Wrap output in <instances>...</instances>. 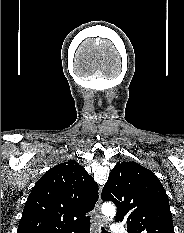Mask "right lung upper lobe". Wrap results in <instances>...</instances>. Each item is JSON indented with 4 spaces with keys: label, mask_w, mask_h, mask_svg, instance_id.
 <instances>
[{
    "label": "right lung upper lobe",
    "mask_w": 184,
    "mask_h": 233,
    "mask_svg": "<svg viewBox=\"0 0 184 233\" xmlns=\"http://www.w3.org/2000/svg\"><path fill=\"white\" fill-rule=\"evenodd\" d=\"M98 185L74 160L56 165L33 187L17 233H65L88 220Z\"/></svg>",
    "instance_id": "cb5924a9"
}]
</instances>
